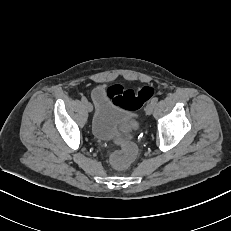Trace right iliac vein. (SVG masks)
Returning <instances> with one entry per match:
<instances>
[{"instance_id":"right-iliac-vein-1","label":"right iliac vein","mask_w":231,"mask_h":231,"mask_svg":"<svg viewBox=\"0 0 231 231\" xmlns=\"http://www.w3.org/2000/svg\"><path fill=\"white\" fill-rule=\"evenodd\" d=\"M85 107H86L87 111L92 112L93 106L90 102H88V101L85 102Z\"/></svg>"}]
</instances>
